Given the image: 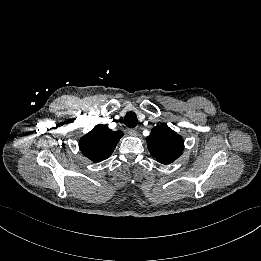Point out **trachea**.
<instances>
[{
  "label": "trachea",
  "instance_id": "1",
  "mask_svg": "<svg viewBox=\"0 0 261 261\" xmlns=\"http://www.w3.org/2000/svg\"><path fill=\"white\" fill-rule=\"evenodd\" d=\"M124 124L129 128H134L138 124L137 116L134 112H128L124 117Z\"/></svg>",
  "mask_w": 261,
  "mask_h": 261
}]
</instances>
